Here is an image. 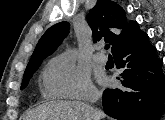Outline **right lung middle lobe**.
Listing matches in <instances>:
<instances>
[{
    "instance_id": "dd1d6c3e",
    "label": "right lung middle lobe",
    "mask_w": 165,
    "mask_h": 120,
    "mask_svg": "<svg viewBox=\"0 0 165 120\" xmlns=\"http://www.w3.org/2000/svg\"><path fill=\"white\" fill-rule=\"evenodd\" d=\"M41 63H42V60L37 61V62L29 65L26 68L25 73H24V77H23V81H22V85H21V89H24L27 86L33 73L38 69V67L41 65Z\"/></svg>"
}]
</instances>
